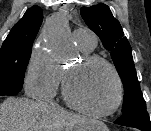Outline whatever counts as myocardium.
Returning <instances> with one entry per match:
<instances>
[{
  "label": "myocardium",
  "instance_id": "1",
  "mask_svg": "<svg viewBox=\"0 0 151 131\" xmlns=\"http://www.w3.org/2000/svg\"><path fill=\"white\" fill-rule=\"evenodd\" d=\"M82 64L83 66H90L93 64H103L110 70L116 84L115 99L112 105L105 110H94L85 106L84 104L79 102L76 98H74L73 95L71 94L69 89V78L72 74V70H67L62 85V93L65 101L74 109L92 117L103 118V117L111 116L119 109L124 98V86L117 69L110 61L98 55H89V54L84 55L82 58Z\"/></svg>",
  "mask_w": 151,
  "mask_h": 131
}]
</instances>
